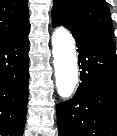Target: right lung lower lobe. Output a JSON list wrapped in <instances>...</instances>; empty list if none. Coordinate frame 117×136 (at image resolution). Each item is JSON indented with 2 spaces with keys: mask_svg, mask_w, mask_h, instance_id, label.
Wrapping results in <instances>:
<instances>
[{
  "mask_svg": "<svg viewBox=\"0 0 117 136\" xmlns=\"http://www.w3.org/2000/svg\"><path fill=\"white\" fill-rule=\"evenodd\" d=\"M29 28L0 41V136L23 135L29 82Z\"/></svg>",
  "mask_w": 117,
  "mask_h": 136,
  "instance_id": "98d812e1",
  "label": "right lung lower lobe"
}]
</instances>
